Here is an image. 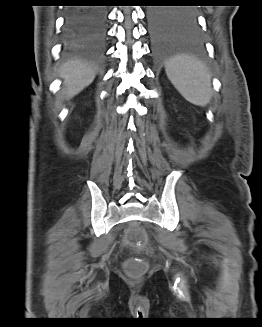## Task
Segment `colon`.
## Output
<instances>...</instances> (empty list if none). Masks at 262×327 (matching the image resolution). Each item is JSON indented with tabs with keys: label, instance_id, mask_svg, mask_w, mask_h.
I'll return each instance as SVG.
<instances>
[{
	"label": "colon",
	"instance_id": "1",
	"mask_svg": "<svg viewBox=\"0 0 262 327\" xmlns=\"http://www.w3.org/2000/svg\"><path fill=\"white\" fill-rule=\"evenodd\" d=\"M127 239L129 242H134L136 246L141 247L146 244V235L140 228H135L128 232ZM145 269V264L140 260L128 261L126 263V271L131 276L140 275Z\"/></svg>",
	"mask_w": 262,
	"mask_h": 327
}]
</instances>
